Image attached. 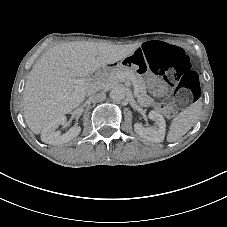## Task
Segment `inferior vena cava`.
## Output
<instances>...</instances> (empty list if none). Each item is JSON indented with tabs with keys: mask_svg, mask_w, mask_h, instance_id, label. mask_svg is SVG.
<instances>
[{
	"mask_svg": "<svg viewBox=\"0 0 227 227\" xmlns=\"http://www.w3.org/2000/svg\"><path fill=\"white\" fill-rule=\"evenodd\" d=\"M97 89H98L97 82H93V83H91L88 86V88L86 90L87 95L88 96H93L92 99H93V101H96V102L102 101L104 99V95H105V92L104 91H102L100 93H96L97 92Z\"/></svg>",
	"mask_w": 227,
	"mask_h": 227,
	"instance_id": "1",
	"label": "inferior vena cava"
}]
</instances>
